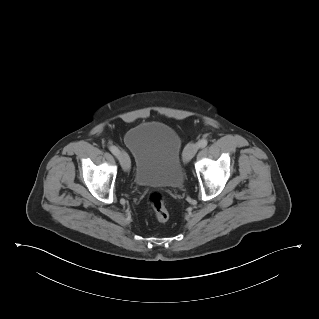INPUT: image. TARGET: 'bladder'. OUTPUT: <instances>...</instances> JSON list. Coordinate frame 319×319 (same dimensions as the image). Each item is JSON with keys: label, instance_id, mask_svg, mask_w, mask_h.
Listing matches in <instances>:
<instances>
[{"label": "bladder", "instance_id": "1", "mask_svg": "<svg viewBox=\"0 0 319 319\" xmlns=\"http://www.w3.org/2000/svg\"><path fill=\"white\" fill-rule=\"evenodd\" d=\"M124 144L132 154L134 182L139 186L179 188L184 182L182 141L162 122H145L129 129Z\"/></svg>", "mask_w": 319, "mask_h": 319}]
</instances>
